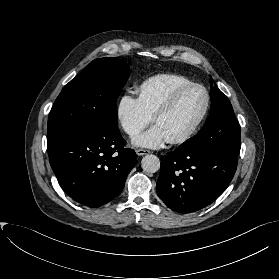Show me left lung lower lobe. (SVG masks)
Wrapping results in <instances>:
<instances>
[{
	"label": "left lung lower lobe",
	"mask_w": 279,
	"mask_h": 279,
	"mask_svg": "<svg viewBox=\"0 0 279 279\" xmlns=\"http://www.w3.org/2000/svg\"><path fill=\"white\" fill-rule=\"evenodd\" d=\"M238 155L216 148L168 152L161 161L157 194L173 211L195 212L215 201L229 186Z\"/></svg>",
	"instance_id": "obj_1"
}]
</instances>
